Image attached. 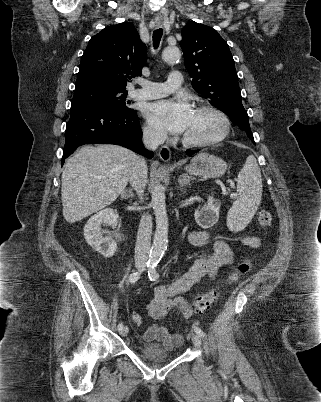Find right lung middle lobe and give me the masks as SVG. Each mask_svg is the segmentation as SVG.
I'll list each match as a JSON object with an SVG mask.
<instances>
[{
	"mask_svg": "<svg viewBox=\"0 0 321 402\" xmlns=\"http://www.w3.org/2000/svg\"><path fill=\"white\" fill-rule=\"evenodd\" d=\"M126 92L100 83H83L75 85L71 110L79 108H93L110 112H128Z\"/></svg>",
	"mask_w": 321,
	"mask_h": 402,
	"instance_id": "dd1d6c3e",
	"label": "right lung middle lobe"
}]
</instances>
